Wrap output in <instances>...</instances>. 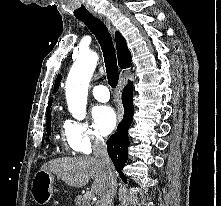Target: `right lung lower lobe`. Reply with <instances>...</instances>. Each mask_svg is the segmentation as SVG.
I'll return each instance as SVG.
<instances>
[{"mask_svg": "<svg viewBox=\"0 0 221 206\" xmlns=\"http://www.w3.org/2000/svg\"><path fill=\"white\" fill-rule=\"evenodd\" d=\"M122 102L124 106V117L117 127V132L107 140V149L117 172L121 178L126 181V176L123 174L122 168L125 166L128 158V147L130 145L128 129L133 121L134 115L132 84L130 82L122 93Z\"/></svg>", "mask_w": 221, "mask_h": 206, "instance_id": "right-lung-lower-lobe-1", "label": "right lung lower lobe"}]
</instances>
